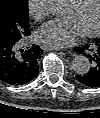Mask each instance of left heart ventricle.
<instances>
[{
	"instance_id": "left-heart-ventricle-1",
	"label": "left heart ventricle",
	"mask_w": 100,
	"mask_h": 118,
	"mask_svg": "<svg viewBox=\"0 0 100 118\" xmlns=\"http://www.w3.org/2000/svg\"><path fill=\"white\" fill-rule=\"evenodd\" d=\"M66 17L74 19L82 32L93 29L99 17V0H85L80 6L69 5Z\"/></svg>"
}]
</instances>
